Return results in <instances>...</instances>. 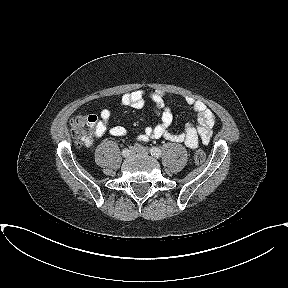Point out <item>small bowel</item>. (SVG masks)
<instances>
[{
	"label": "small bowel",
	"instance_id": "1",
	"mask_svg": "<svg viewBox=\"0 0 288 288\" xmlns=\"http://www.w3.org/2000/svg\"><path fill=\"white\" fill-rule=\"evenodd\" d=\"M152 111L158 116L159 123L153 127H146L144 132L139 135L140 140L164 138L171 142L184 143L189 149L194 150L198 146L199 139L207 144L213 136L215 116L212 111L201 101L192 97H185L186 103L197 114L198 122L196 125L188 124L184 132L176 133L171 131L173 114L169 107L165 105L163 93L151 91L148 94ZM146 93L144 90H135L125 93L120 104L123 107L141 109L146 105ZM111 111L107 107L100 110V121L95 128V136L101 137L106 132L112 136L122 137L127 130L123 126H111L108 121Z\"/></svg>",
	"mask_w": 288,
	"mask_h": 288
}]
</instances>
